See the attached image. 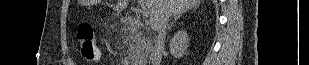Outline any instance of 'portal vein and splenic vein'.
Instances as JSON below:
<instances>
[{
    "instance_id": "portal-vein-and-splenic-vein-1",
    "label": "portal vein and splenic vein",
    "mask_w": 309,
    "mask_h": 65,
    "mask_svg": "<svg viewBox=\"0 0 309 65\" xmlns=\"http://www.w3.org/2000/svg\"><path fill=\"white\" fill-rule=\"evenodd\" d=\"M141 7H142V15H143V17H148L149 10L144 6V2H142Z\"/></svg>"
}]
</instances>
